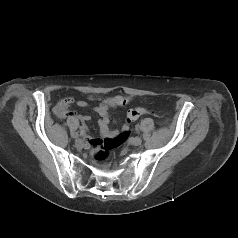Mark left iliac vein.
Masks as SVG:
<instances>
[{"label": "left iliac vein", "instance_id": "1", "mask_svg": "<svg viewBox=\"0 0 238 238\" xmlns=\"http://www.w3.org/2000/svg\"><path fill=\"white\" fill-rule=\"evenodd\" d=\"M141 143H142V139L140 137H135L132 140V145H134V146H139V145H141Z\"/></svg>", "mask_w": 238, "mask_h": 238}]
</instances>
